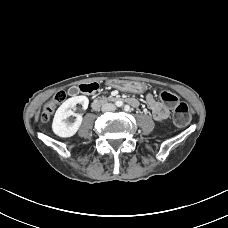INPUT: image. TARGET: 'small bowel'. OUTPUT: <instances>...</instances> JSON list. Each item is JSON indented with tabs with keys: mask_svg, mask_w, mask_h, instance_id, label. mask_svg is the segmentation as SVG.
Returning a JSON list of instances; mask_svg holds the SVG:
<instances>
[{
	"mask_svg": "<svg viewBox=\"0 0 228 228\" xmlns=\"http://www.w3.org/2000/svg\"><path fill=\"white\" fill-rule=\"evenodd\" d=\"M111 84L121 90L132 89V85L127 82H112ZM146 102L151 109L154 119L159 122L165 121L169 115V109L163 103L157 101L151 93L146 94ZM129 103L135 107L139 105L136 99H129Z\"/></svg>",
	"mask_w": 228,
	"mask_h": 228,
	"instance_id": "c3829d8e",
	"label": "small bowel"
}]
</instances>
